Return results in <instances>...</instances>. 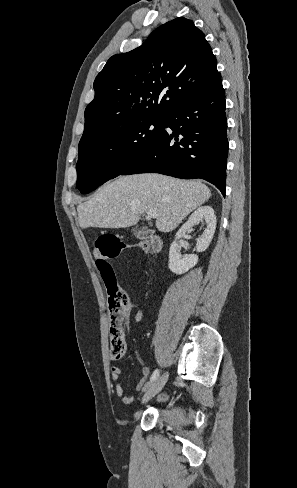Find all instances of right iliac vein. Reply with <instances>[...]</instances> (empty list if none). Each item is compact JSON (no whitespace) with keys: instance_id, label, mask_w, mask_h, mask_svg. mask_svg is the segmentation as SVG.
Wrapping results in <instances>:
<instances>
[{"instance_id":"1","label":"right iliac vein","mask_w":297,"mask_h":488,"mask_svg":"<svg viewBox=\"0 0 297 488\" xmlns=\"http://www.w3.org/2000/svg\"><path fill=\"white\" fill-rule=\"evenodd\" d=\"M168 380V373H164L159 379H157L150 387L147 389L146 393L142 398V403L148 402L157 393H159Z\"/></svg>"}]
</instances>
